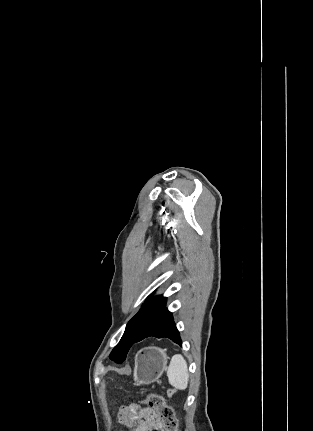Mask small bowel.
<instances>
[{
  "label": "small bowel",
  "mask_w": 313,
  "mask_h": 431,
  "mask_svg": "<svg viewBox=\"0 0 313 431\" xmlns=\"http://www.w3.org/2000/svg\"><path fill=\"white\" fill-rule=\"evenodd\" d=\"M118 418L133 431H152L158 422V416L153 409L137 405L121 407Z\"/></svg>",
  "instance_id": "small-bowel-1"
}]
</instances>
